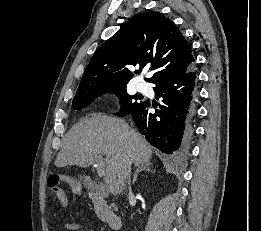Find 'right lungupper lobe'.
I'll use <instances>...</instances> for the list:
<instances>
[{
    "mask_svg": "<svg viewBox=\"0 0 261 231\" xmlns=\"http://www.w3.org/2000/svg\"><path fill=\"white\" fill-rule=\"evenodd\" d=\"M147 64L155 70L147 81L154 84L194 66L184 36L159 12L134 15L100 47L88 64L76 95L126 86L134 75L128 67L143 68Z\"/></svg>",
    "mask_w": 261,
    "mask_h": 231,
    "instance_id": "obj_1",
    "label": "right lung upper lobe"
}]
</instances>
